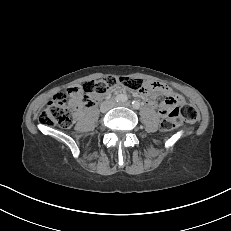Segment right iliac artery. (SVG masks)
I'll return each mask as SVG.
<instances>
[{"label":"right iliac artery","mask_w":231,"mask_h":231,"mask_svg":"<svg viewBox=\"0 0 231 231\" xmlns=\"http://www.w3.org/2000/svg\"><path fill=\"white\" fill-rule=\"evenodd\" d=\"M128 98H127V96L125 95V94H119V95H117L116 97H115V100L117 101V102H124V101H126Z\"/></svg>","instance_id":"obj_1"}]
</instances>
